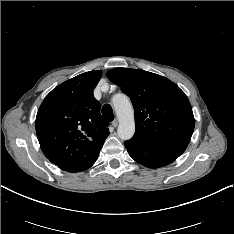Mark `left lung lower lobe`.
Wrapping results in <instances>:
<instances>
[{
	"instance_id": "obj_1",
	"label": "left lung lower lobe",
	"mask_w": 234,
	"mask_h": 234,
	"mask_svg": "<svg viewBox=\"0 0 234 234\" xmlns=\"http://www.w3.org/2000/svg\"><path fill=\"white\" fill-rule=\"evenodd\" d=\"M125 147L136 162L158 168L172 163L185 151L187 144H150L129 140L125 142Z\"/></svg>"
}]
</instances>
